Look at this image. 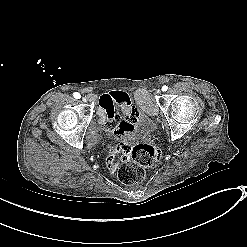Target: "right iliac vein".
Wrapping results in <instances>:
<instances>
[{
  "instance_id": "obj_1",
  "label": "right iliac vein",
  "mask_w": 247,
  "mask_h": 247,
  "mask_svg": "<svg viewBox=\"0 0 247 247\" xmlns=\"http://www.w3.org/2000/svg\"><path fill=\"white\" fill-rule=\"evenodd\" d=\"M83 101H86V98L84 96L81 97Z\"/></svg>"
}]
</instances>
